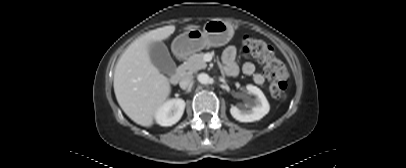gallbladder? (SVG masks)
Here are the masks:
<instances>
[{
    "label": "gallbladder",
    "instance_id": "obj_1",
    "mask_svg": "<svg viewBox=\"0 0 406 168\" xmlns=\"http://www.w3.org/2000/svg\"><path fill=\"white\" fill-rule=\"evenodd\" d=\"M149 54L151 62L158 70L167 74L174 72L175 63L162 41L153 42L149 47Z\"/></svg>",
    "mask_w": 406,
    "mask_h": 168
}]
</instances>
